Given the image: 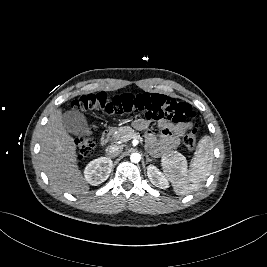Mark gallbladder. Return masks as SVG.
I'll return each instance as SVG.
<instances>
[{"mask_svg":"<svg viewBox=\"0 0 267 267\" xmlns=\"http://www.w3.org/2000/svg\"><path fill=\"white\" fill-rule=\"evenodd\" d=\"M62 124L67 132L76 136H89L90 130L86 117L78 110L66 111L62 115Z\"/></svg>","mask_w":267,"mask_h":267,"instance_id":"bac80fb5","label":"gallbladder"}]
</instances>
